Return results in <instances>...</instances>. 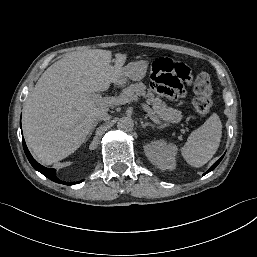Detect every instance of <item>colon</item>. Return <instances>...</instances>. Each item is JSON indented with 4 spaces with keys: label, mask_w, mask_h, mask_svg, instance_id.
Listing matches in <instances>:
<instances>
[{
    "label": "colon",
    "mask_w": 257,
    "mask_h": 257,
    "mask_svg": "<svg viewBox=\"0 0 257 257\" xmlns=\"http://www.w3.org/2000/svg\"><path fill=\"white\" fill-rule=\"evenodd\" d=\"M212 83L208 73H199L194 80L195 98L193 106L195 111L201 115H207L212 107Z\"/></svg>",
    "instance_id": "colon-1"
}]
</instances>
